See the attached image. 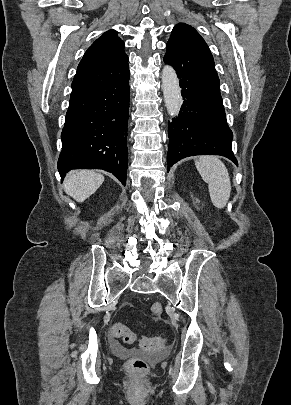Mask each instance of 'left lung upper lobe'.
<instances>
[{"label":"left lung upper lobe","mask_w":291,"mask_h":405,"mask_svg":"<svg viewBox=\"0 0 291 405\" xmlns=\"http://www.w3.org/2000/svg\"><path fill=\"white\" fill-rule=\"evenodd\" d=\"M169 40L181 41L194 48L210 52L208 45L198 32L190 25L184 23H179L174 27Z\"/></svg>","instance_id":"5c2ea615"}]
</instances>
